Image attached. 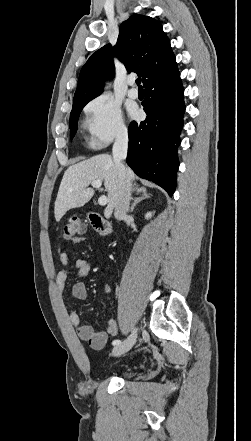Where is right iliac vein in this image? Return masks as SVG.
<instances>
[{
  "label": "right iliac vein",
  "mask_w": 251,
  "mask_h": 441,
  "mask_svg": "<svg viewBox=\"0 0 251 441\" xmlns=\"http://www.w3.org/2000/svg\"><path fill=\"white\" fill-rule=\"evenodd\" d=\"M137 328L132 330L131 335L120 345H117L113 348L112 354L115 356H120L126 352H128L136 342L137 339Z\"/></svg>",
  "instance_id": "right-iliac-vein-1"
}]
</instances>
